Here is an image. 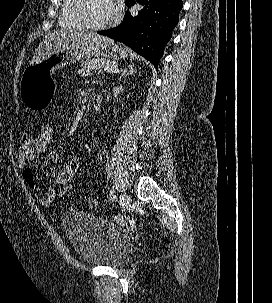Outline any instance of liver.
Here are the masks:
<instances>
[{"instance_id":"6515ba94","label":"liver","mask_w":272,"mask_h":303,"mask_svg":"<svg viewBox=\"0 0 272 303\" xmlns=\"http://www.w3.org/2000/svg\"><path fill=\"white\" fill-rule=\"evenodd\" d=\"M109 40L107 37L88 31H55L39 44L30 65L39 63L58 51L64 52L70 48L92 46Z\"/></svg>"}]
</instances>
